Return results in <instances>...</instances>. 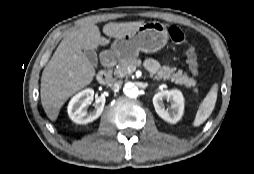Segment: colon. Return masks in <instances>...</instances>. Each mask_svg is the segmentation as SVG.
<instances>
[{"mask_svg":"<svg viewBox=\"0 0 254 174\" xmlns=\"http://www.w3.org/2000/svg\"><path fill=\"white\" fill-rule=\"evenodd\" d=\"M169 36L174 43L186 44L187 46L186 55H187L189 69L192 72V74L198 75L200 68H199L197 52L195 48L188 42L183 31L177 26H172L169 28Z\"/></svg>","mask_w":254,"mask_h":174,"instance_id":"1","label":"colon"}]
</instances>
